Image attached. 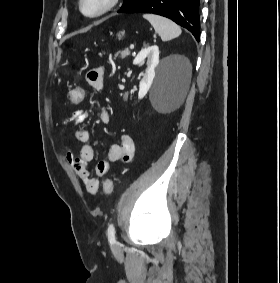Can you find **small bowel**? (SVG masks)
Wrapping results in <instances>:
<instances>
[{
	"label": "small bowel",
	"mask_w": 280,
	"mask_h": 283,
	"mask_svg": "<svg viewBox=\"0 0 280 283\" xmlns=\"http://www.w3.org/2000/svg\"><path fill=\"white\" fill-rule=\"evenodd\" d=\"M104 76V69L97 68L88 73L87 82L93 89L100 90L103 87ZM87 118V111L78 109L75 110L71 116L64 118L62 120V125H77L85 121ZM100 119L103 123H108L110 121V115L107 110H103L101 112ZM75 138L82 144L80 154L74 155L72 151L68 149L65 155V160L81 179L86 191L90 194L97 193L100 186L98 177H103L108 174L111 163L117 161L128 163L133 159L135 154V144L133 139L127 134H122L120 142L113 144L110 147L107 158L97 162L95 166L96 177H94L88 168V162L94 158V149L89 144L90 134L85 129H77L75 131Z\"/></svg>",
	"instance_id": "1"
}]
</instances>
